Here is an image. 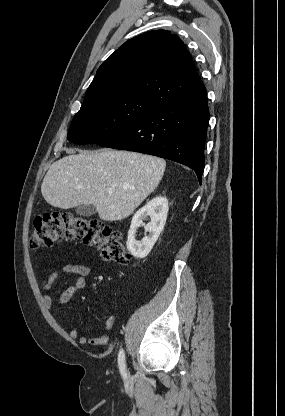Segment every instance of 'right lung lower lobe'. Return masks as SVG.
Instances as JSON below:
<instances>
[{
  "mask_svg": "<svg viewBox=\"0 0 285 416\" xmlns=\"http://www.w3.org/2000/svg\"><path fill=\"white\" fill-rule=\"evenodd\" d=\"M209 122L206 89L160 106L96 144L169 159L192 168L199 182Z\"/></svg>",
  "mask_w": 285,
  "mask_h": 416,
  "instance_id": "1",
  "label": "right lung lower lobe"
}]
</instances>
